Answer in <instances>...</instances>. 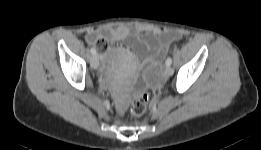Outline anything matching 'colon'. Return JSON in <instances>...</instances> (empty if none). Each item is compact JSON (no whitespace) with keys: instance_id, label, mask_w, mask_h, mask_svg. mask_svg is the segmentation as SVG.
<instances>
[{"instance_id":"colon-1","label":"colon","mask_w":261,"mask_h":150,"mask_svg":"<svg viewBox=\"0 0 261 150\" xmlns=\"http://www.w3.org/2000/svg\"><path fill=\"white\" fill-rule=\"evenodd\" d=\"M148 100H149L148 92L141 91L140 93H138L131 103L130 106L131 114L136 117H140L144 115L147 110Z\"/></svg>"}]
</instances>
